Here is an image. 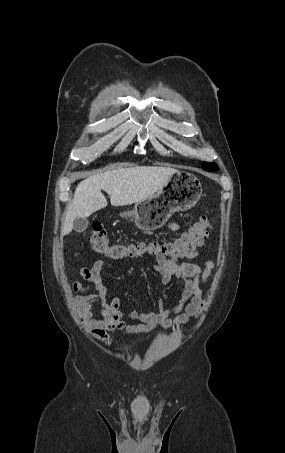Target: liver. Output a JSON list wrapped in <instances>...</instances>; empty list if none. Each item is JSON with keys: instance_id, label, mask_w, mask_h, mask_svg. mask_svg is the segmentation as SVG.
<instances>
[{"instance_id": "6515ba94", "label": "liver", "mask_w": 285, "mask_h": 453, "mask_svg": "<svg viewBox=\"0 0 285 453\" xmlns=\"http://www.w3.org/2000/svg\"><path fill=\"white\" fill-rule=\"evenodd\" d=\"M177 172L178 170L170 167L135 166L86 178L76 187L61 234L67 235L72 231L76 218H86L107 206V200L101 190L110 196L113 206L130 205L155 195Z\"/></svg>"}]
</instances>
